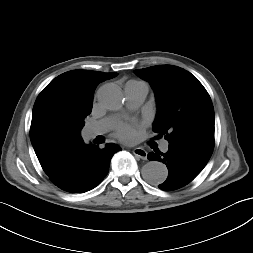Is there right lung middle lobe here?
<instances>
[{"label":"right lung middle lobe","instance_id":"dd1d6c3e","mask_svg":"<svg viewBox=\"0 0 253 253\" xmlns=\"http://www.w3.org/2000/svg\"><path fill=\"white\" fill-rule=\"evenodd\" d=\"M87 115H81L78 120H77V127L79 130H81L84 126V119L86 118Z\"/></svg>","mask_w":253,"mask_h":253}]
</instances>
